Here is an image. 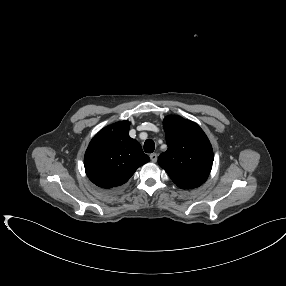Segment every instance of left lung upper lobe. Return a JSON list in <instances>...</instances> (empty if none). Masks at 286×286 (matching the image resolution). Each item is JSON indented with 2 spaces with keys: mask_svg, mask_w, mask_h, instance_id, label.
<instances>
[{
  "mask_svg": "<svg viewBox=\"0 0 286 286\" xmlns=\"http://www.w3.org/2000/svg\"><path fill=\"white\" fill-rule=\"evenodd\" d=\"M167 151L158 164L182 189H193L208 178L213 164L212 146L203 130L194 122L169 115L163 121Z\"/></svg>",
  "mask_w": 286,
  "mask_h": 286,
  "instance_id": "obj_1",
  "label": "left lung upper lobe"
}]
</instances>
